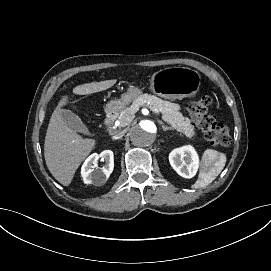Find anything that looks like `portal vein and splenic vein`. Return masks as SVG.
Instances as JSON below:
<instances>
[{"label": "portal vein and splenic vein", "mask_w": 271, "mask_h": 271, "mask_svg": "<svg viewBox=\"0 0 271 271\" xmlns=\"http://www.w3.org/2000/svg\"><path fill=\"white\" fill-rule=\"evenodd\" d=\"M147 108L150 109L152 112L157 113V115H160V111H158V109H155V108L151 107L150 105H147Z\"/></svg>", "instance_id": "obj_1"}]
</instances>
